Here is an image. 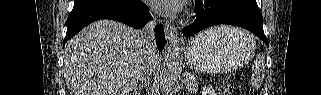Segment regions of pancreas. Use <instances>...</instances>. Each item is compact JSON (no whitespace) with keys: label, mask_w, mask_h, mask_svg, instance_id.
Masks as SVG:
<instances>
[{"label":"pancreas","mask_w":321,"mask_h":95,"mask_svg":"<svg viewBox=\"0 0 321 95\" xmlns=\"http://www.w3.org/2000/svg\"><path fill=\"white\" fill-rule=\"evenodd\" d=\"M184 84L190 95L195 94L198 90V80L194 75L189 74L184 79Z\"/></svg>","instance_id":"1"}]
</instances>
